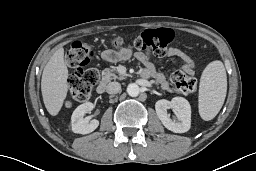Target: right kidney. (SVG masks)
I'll return each mask as SVG.
<instances>
[{
    "label": "right kidney",
    "instance_id": "obj_1",
    "mask_svg": "<svg viewBox=\"0 0 256 171\" xmlns=\"http://www.w3.org/2000/svg\"><path fill=\"white\" fill-rule=\"evenodd\" d=\"M94 105L91 102H86L79 105L74 111L71 116V126L72 131L74 133L79 134H88L93 132L98 126L99 121L96 119L91 120L90 122L84 118L86 113H91L93 110Z\"/></svg>",
    "mask_w": 256,
    "mask_h": 171
}]
</instances>
